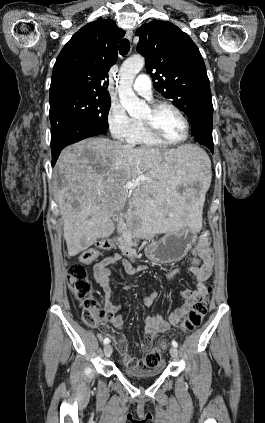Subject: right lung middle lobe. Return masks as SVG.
Segmentation results:
<instances>
[{"label": "right lung middle lobe", "instance_id": "1", "mask_svg": "<svg viewBox=\"0 0 265 423\" xmlns=\"http://www.w3.org/2000/svg\"><path fill=\"white\" fill-rule=\"evenodd\" d=\"M50 122L64 117L76 118L91 125L108 128L110 97H98L83 93H64L49 98Z\"/></svg>", "mask_w": 265, "mask_h": 423}]
</instances>
